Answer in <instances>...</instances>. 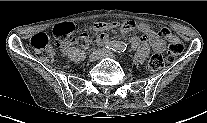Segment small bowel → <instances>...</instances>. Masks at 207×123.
I'll return each mask as SVG.
<instances>
[{
    "instance_id": "small-bowel-1",
    "label": "small bowel",
    "mask_w": 207,
    "mask_h": 123,
    "mask_svg": "<svg viewBox=\"0 0 207 123\" xmlns=\"http://www.w3.org/2000/svg\"><path fill=\"white\" fill-rule=\"evenodd\" d=\"M119 24L116 22L108 23V22H98L92 26V30L96 32H100L97 38V42L99 44H106L108 41V36L104 33L105 31H109L115 29ZM122 31L124 33L130 32L134 29L140 31L143 35L142 36H134L131 38L130 43L132 47L136 48L140 45L149 44L155 52H162L165 48V43L158 35L157 32L152 30L150 26L146 23H137L136 20H129L124 22L121 25ZM79 40L86 41L87 40V33L82 32L78 39H75L74 42L61 44L60 49L65 52L69 45L78 42Z\"/></svg>"
}]
</instances>
